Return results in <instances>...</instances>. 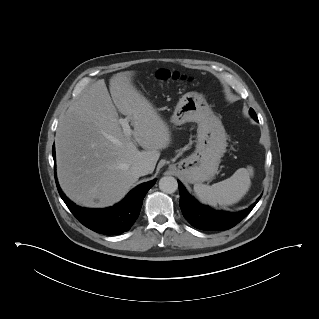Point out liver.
Returning a JSON list of instances; mask_svg holds the SVG:
<instances>
[{
  "instance_id": "6515ba94",
  "label": "liver",
  "mask_w": 319,
  "mask_h": 319,
  "mask_svg": "<svg viewBox=\"0 0 319 319\" xmlns=\"http://www.w3.org/2000/svg\"><path fill=\"white\" fill-rule=\"evenodd\" d=\"M134 74H114L109 81L111 97L105 81H96L59 121L58 181L81 206L103 208L120 201L139 178L131 167L147 162L152 173L160 150L170 144L167 123L133 85ZM117 110L131 121L133 138L122 131ZM135 142L144 150L139 151Z\"/></svg>"
}]
</instances>
